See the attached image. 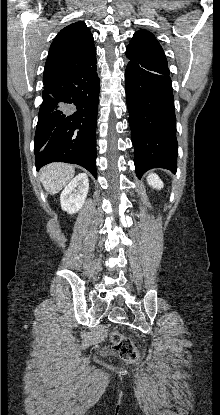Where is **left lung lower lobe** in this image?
<instances>
[{
    "label": "left lung lower lobe",
    "mask_w": 220,
    "mask_h": 415,
    "mask_svg": "<svg viewBox=\"0 0 220 415\" xmlns=\"http://www.w3.org/2000/svg\"><path fill=\"white\" fill-rule=\"evenodd\" d=\"M167 66L130 61L125 90L135 169L140 178L152 168L177 169L178 144L172 82Z\"/></svg>",
    "instance_id": "left-lung-lower-lobe-1"
}]
</instances>
